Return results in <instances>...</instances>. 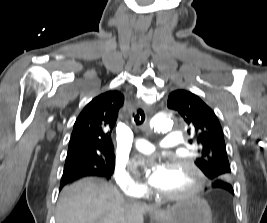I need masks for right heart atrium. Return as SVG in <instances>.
Here are the masks:
<instances>
[{
	"instance_id": "d8ad5b80",
	"label": "right heart atrium",
	"mask_w": 267,
	"mask_h": 223,
	"mask_svg": "<svg viewBox=\"0 0 267 223\" xmlns=\"http://www.w3.org/2000/svg\"><path fill=\"white\" fill-rule=\"evenodd\" d=\"M114 180L123 193L130 197H140L145 193V187L131 173L128 165L117 162L113 174Z\"/></svg>"
}]
</instances>
